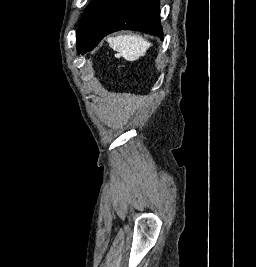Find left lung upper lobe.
<instances>
[{"label": "left lung upper lobe", "mask_w": 256, "mask_h": 267, "mask_svg": "<svg viewBox=\"0 0 256 267\" xmlns=\"http://www.w3.org/2000/svg\"><path fill=\"white\" fill-rule=\"evenodd\" d=\"M137 30L163 38L159 0H92L77 34L78 54L92 50L106 35Z\"/></svg>", "instance_id": "obj_1"}]
</instances>
